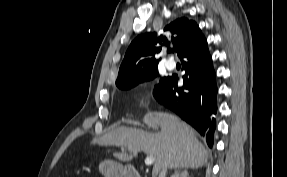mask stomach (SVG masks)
Returning <instances> with one entry per match:
<instances>
[{
    "mask_svg": "<svg viewBox=\"0 0 287 177\" xmlns=\"http://www.w3.org/2000/svg\"><path fill=\"white\" fill-rule=\"evenodd\" d=\"M99 171L104 177H129L130 169L114 161L105 160L100 163Z\"/></svg>",
    "mask_w": 287,
    "mask_h": 177,
    "instance_id": "0dacf381",
    "label": "stomach"
}]
</instances>
